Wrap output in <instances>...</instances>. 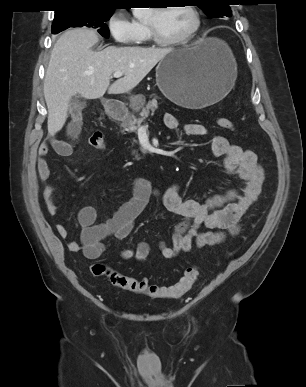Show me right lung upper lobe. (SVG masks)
Segmentation results:
<instances>
[{
    "instance_id": "right-lung-upper-lobe-1",
    "label": "right lung upper lobe",
    "mask_w": 306,
    "mask_h": 387,
    "mask_svg": "<svg viewBox=\"0 0 306 387\" xmlns=\"http://www.w3.org/2000/svg\"><path fill=\"white\" fill-rule=\"evenodd\" d=\"M55 14L74 8L115 9L116 0H59Z\"/></svg>"
}]
</instances>
